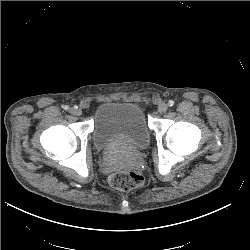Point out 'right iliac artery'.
Masks as SVG:
<instances>
[{
  "label": "right iliac artery",
  "mask_w": 250,
  "mask_h": 250,
  "mask_svg": "<svg viewBox=\"0 0 250 250\" xmlns=\"http://www.w3.org/2000/svg\"><path fill=\"white\" fill-rule=\"evenodd\" d=\"M64 109H65V110H68V109H69V107L66 105V106H64Z\"/></svg>",
  "instance_id": "82829eb1"
}]
</instances>
